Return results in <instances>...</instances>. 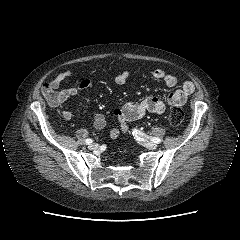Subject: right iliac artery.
I'll return each instance as SVG.
<instances>
[{
    "label": "right iliac artery",
    "instance_id": "82829eb1",
    "mask_svg": "<svg viewBox=\"0 0 240 240\" xmlns=\"http://www.w3.org/2000/svg\"><path fill=\"white\" fill-rule=\"evenodd\" d=\"M86 144H91L92 142H93V140L92 139H86Z\"/></svg>",
    "mask_w": 240,
    "mask_h": 240
}]
</instances>
